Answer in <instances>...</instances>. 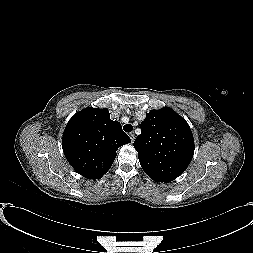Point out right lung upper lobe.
Returning a JSON list of instances; mask_svg holds the SVG:
<instances>
[{"mask_svg":"<svg viewBox=\"0 0 253 253\" xmlns=\"http://www.w3.org/2000/svg\"><path fill=\"white\" fill-rule=\"evenodd\" d=\"M130 142L121 124L110 119L106 108L88 107L69 120L62 147L66 159L77 173L89 179H98L112 166L118 147Z\"/></svg>","mask_w":253,"mask_h":253,"instance_id":"1","label":"right lung upper lobe"}]
</instances>
